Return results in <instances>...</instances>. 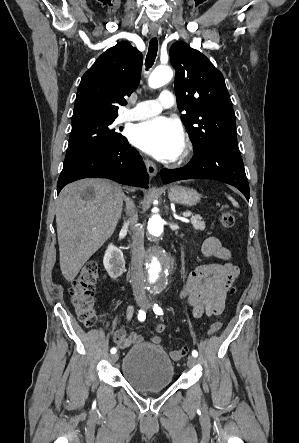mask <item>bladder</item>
<instances>
[{"label": "bladder", "instance_id": "obj_1", "mask_svg": "<svg viewBox=\"0 0 299 443\" xmlns=\"http://www.w3.org/2000/svg\"><path fill=\"white\" fill-rule=\"evenodd\" d=\"M121 374L134 389L155 391L173 383L175 367L161 346L142 343L125 354Z\"/></svg>", "mask_w": 299, "mask_h": 443}]
</instances>
